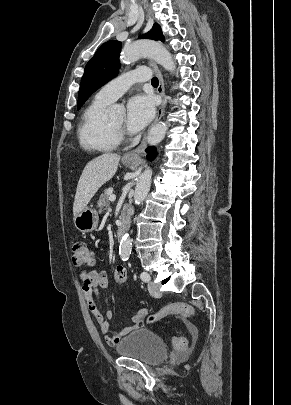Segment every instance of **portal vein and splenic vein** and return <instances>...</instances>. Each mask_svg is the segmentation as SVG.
I'll list each match as a JSON object with an SVG mask.
<instances>
[{
    "label": "portal vein and splenic vein",
    "instance_id": "18ae733b",
    "mask_svg": "<svg viewBox=\"0 0 291 405\" xmlns=\"http://www.w3.org/2000/svg\"><path fill=\"white\" fill-rule=\"evenodd\" d=\"M109 200L114 202L116 200V196L114 194L110 195Z\"/></svg>",
    "mask_w": 291,
    "mask_h": 405
}]
</instances>
